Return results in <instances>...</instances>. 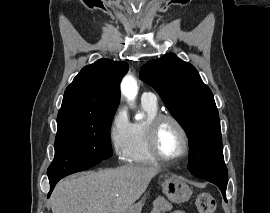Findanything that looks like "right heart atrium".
Returning <instances> with one entry per match:
<instances>
[{
	"label": "right heart atrium",
	"mask_w": 270,
	"mask_h": 213,
	"mask_svg": "<svg viewBox=\"0 0 270 213\" xmlns=\"http://www.w3.org/2000/svg\"><path fill=\"white\" fill-rule=\"evenodd\" d=\"M130 122L126 111L119 108L113 116L109 128V141L114 154L119 160H126L129 144Z\"/></svg>",
	"instance_id": "obj_1"
}]
</instances>
